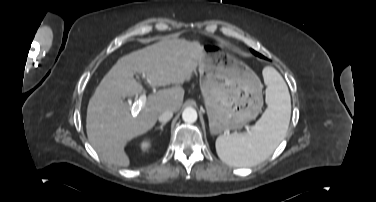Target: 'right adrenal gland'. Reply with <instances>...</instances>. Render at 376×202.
<instances>
[{
    "label": "right adrenal gland",
    "instance_id": "right-adrenal-gland-1",
    "mask_svg": "<svg viewBox=\"0 0 376 202\" xmlns=\"http://www.w3.org/2000/svg\"><path fill=\"white\" fill-rule=\"evenodd\" d=\"M166 125V123H162L159 127H156L155 129H160L161 131H163V127Z\"/></svg>",
    "mask_w": 376,
    "mask_h": 202
}]
</instances>
